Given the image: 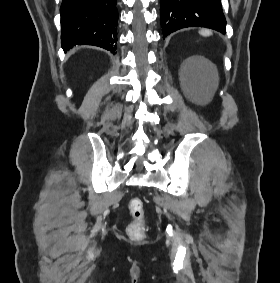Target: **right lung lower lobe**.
<instances>
[{"instance_id": "98d812e1", "label": "right lung lower lobe", "mask_w": 280, "mask_h": 283, "mask_svg": "<svg viewBox=\"0 0 280 283\" xmlns=\"http://www.w3.org/2000/svg\"><path fill=\"white\" fill-rule=\"evenodd\" d=\"M117 0H63L61 45L64 51L75 45H94L116 50Z\"/></svg>"}]
</instances>
